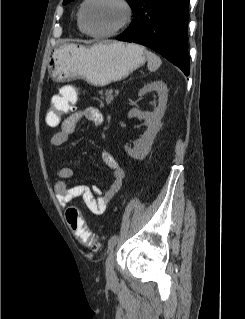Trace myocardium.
I'll return each instance as SVG.
<instances>
[{
  "label": "myocardium",
  "mask_w": 245,
  "mask_h": 319,
  "mask_svg": "<svg viewBox=\"0 0 245 319\" xmlns=\"http://www.w3.org/2000/svg\"><path fill=\"white\" fill-rule=\"evenodd\" d=\"M93 1H95V0H84V2L81 5L80 11H79L80 26H81L83 32H85L87 35L94 37V38H99V39L110 38V37L117 35L122 30H124L132 21L133 8L128 0H110V1L120 5L121 8L123 9L124 18H123L122 22L117 27H115L114 29H112L111 31H108V32H92V31H90L85 24V12H86L87 6Z\"/></svg>",
  "instance_id": "obj_1"
}]
</instances>
